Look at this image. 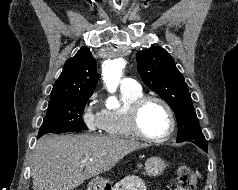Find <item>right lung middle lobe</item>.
I'll list each match as a JSON object with an SVG mask.
<instances>
[{
    "label": "right lung middle lobe",
    "mask_w": 238,
    "mask_h": 190,
    "mask_svg": "<svg viewBox=\"0 0 238 190\" xmlns=\"http://www.w3.org/2000/svg\"><path fill=\"white\" fill-rule=\"evenodd\" d=\"M90 96L74 95L50 100L38 137L49 132L65 133L86 130L87 127L82 120V113Z\"/></svg>",
    "instance_id": "1"
}]
</instances>
